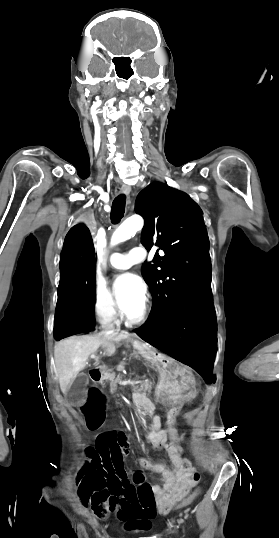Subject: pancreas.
<instances>
[{
    "label": "pancreas",
    "mask_w": 279,
    "mask_h": 538,
    "mask_svg": "<svg viewBox=\"0 0 279 538\" xmlns=\"http://www.w3.org/2000/svg\"><path fill=\"white\" fill-rule=\"evenodd\" d=\"M108 382H110L111 394H115L118 388L117 382H122V376H117V378H115V374H110ZM149 392H151V387L150 381L148 379H143L141 383L140 381H137V384H135L134 387L133 395L147 397L149 395Z\"/></svg>",
    "instance_id": "obj_1"
}]
</instances>
